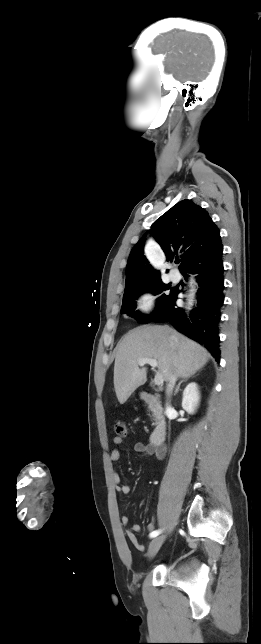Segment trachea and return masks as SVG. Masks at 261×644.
I'll return each instance as SVG.
<instances>
[{
    "label": "trachea",
    "mask_w": 261,
    "mask_h": 644,
    "mask_svg": "<svg viewBox=\"0 0 261 644\" xmlns=\"http://www.w3.org/2000/svg\"><path fill=\"white\" fill-rule=\"evenodd\" d=\"M175 263H176V264H178V263H179V261H175Z\"/></svg>",
    "instance_id": "3493384b"
}]
</instances>
